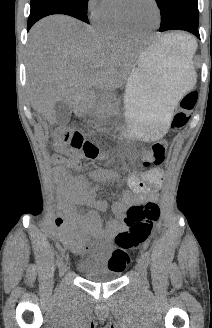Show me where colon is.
<instances>
[{"label":"colon","instance_id":"1","mask_svg":"<svg viewBox=\"0 0 212 328\" xmlns=\"http://www.w3.org/2000/svg\"><path fill=\"white\" fill-rule=\"evenodd\" d=\"M197 98L196 91H190L181 98L171 122L172 132H180L186 127L196 106ZM53 139L58 147L69 148L72 153L77 154L85 161H93L101 156L98 147L85 140L77 130L67 127L57 128L53 132ZM166 149L167 142L165 140L153 143L144 156L141 167L147 169L151 164L160 165L164 161ZM104 171L108 172L109 168L105 167ZM159 216V207L153 202L131 206L127 210L125 218L128 230L116 235L117 248L110 257V264L126 267L130 260L127 251L147 241L152 232L153 223L158 220Z\"/></svg>","mask_w":212,"mask_h":328}]
</instances>
